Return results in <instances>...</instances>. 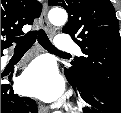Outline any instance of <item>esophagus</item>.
Instances as JSON below:
<instances>
[{
	"label": "esophagus",
	"instance_id": "1",
	"mask_svg": "<svg viewBox=\"0 0 121 113\" xmlns=\"http://www.w3.org/2000/svg\"><path fill=\"white\" fill-rule=\"evenodd\" d=\"M47 13H48V6L47 3L45 2L43 5V10L40 16V22L44 26V28L48 31L51 28V25L49 24L48 18H47ZM39 111L42 113L47 112V107L40 105L38 107Z\"/></svg>",
	"mask_w": 121,
	"mask_h": 113
}]
</instances>
